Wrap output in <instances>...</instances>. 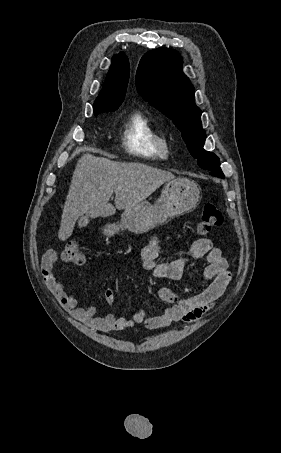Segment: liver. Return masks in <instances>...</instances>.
Returning <instances> with one entry per match:
<instances>
[{"mask_svg": "<svg viewBox=\"0 0 281 453\" xmlns=\"http://www.w3.org/2000/svg\"><path fill=\"white\" fill-rule=\"evenodd\" d=\"M175 178L172 172L143 162H116L105 156L83 154L74 168L61 216L58 239L71 237L75 222L86 214L91 218L111 216L116 208H131L142 202L161 184ZM115 192V206L109 202Z\"/></svg>", "mask_w": 281, "mask_h": 453, "instance_id": "6515ba94", "label": "liver"}]
</instances>
